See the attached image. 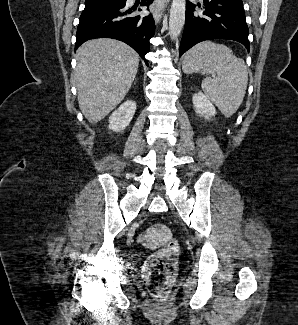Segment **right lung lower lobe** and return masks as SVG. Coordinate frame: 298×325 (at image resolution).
<instances>
[{
	"mask_svg": "<svg viewBox=\"0 0 298 325\" xmlns=\"http://www.w3.org/2000/svg\"><path fill=\"white\" fill-rule=\"evenodd\" d=\"M152 2L141 0L140 4L149 6ZM125 6L126 0L85 6L77 28L75 49L89 39L108 37L127 43L145 60V54L150 51L149 40L155 33L153 16H136L132 14L133 8Z\"/></svg>",
	"mask_w": 298,
	"mask_h": 325,
	"instance_id": "obj_1",
	"label": "right lung lower lobe"
}]
</instances>
